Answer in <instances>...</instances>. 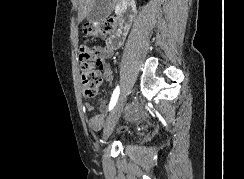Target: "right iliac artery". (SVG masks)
<instances>
[{"mask_svg": "<svg viewBox=\"0 0 244 179\" xmlns=\"http://www.w3.org/2000/svg\"><path fill=\"white\" fill-rule=\"evenodd\" d=\"M119 93H120V88H119V86H117L113 92V95H112V98H111V101L109 104V110L113 109V107L115 106V104L118 100Z\"/></svg>", "mask_w": 244, "mask_h": 179, "instance_id": "1", "label": "right iliac artery"}]
</instances>
